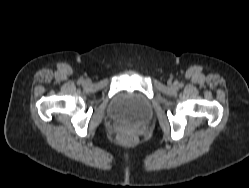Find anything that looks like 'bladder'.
Returning a JSON list of instances; mask_svg holds the SVG:
<instances>
[{
	"instance_id": "bladder-1",
	"label": "bladder",
	"mask_w": 249,
	"mask_h": 188,
	"mask_svg": "<svg viewBox=\"0 0 249 188\" xmlns=\"http://www.w3.org/2000/svg\"><path fill=\"white\" fill-rule=\"evenodd\" d=\"M109 111L113 117L140 122L151 115V105L145 97L138 93L124 92L112 100Z\"/></svg>"
}]
</instances>
